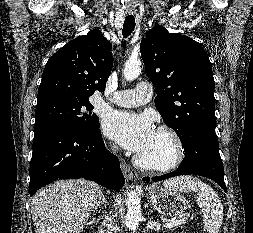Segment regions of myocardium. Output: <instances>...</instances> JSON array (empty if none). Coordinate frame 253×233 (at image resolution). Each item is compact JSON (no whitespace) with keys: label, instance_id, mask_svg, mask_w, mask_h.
Wrapping results in <instances>:
<instances>
[{"label":"myocardium","instance_id":"obj_1","mask_svg":"<svg viewBox=\"0 0 253 233\" xmlns=\"http://www.w3.org/2000/svg\"><path fill=\"white\" fill-rule=\"evenodd\" d=\"M156 132L165 135L171 141L173 145V154L171 158L166 161H152L137 155L135 158V163L137 166L157 172H168L176 167H178L185 157V146L182 141L181 136L176 130L167 125H161L156 129Z\"/></svg>","mask_w":253,"mask_h":233}]
</instances>
